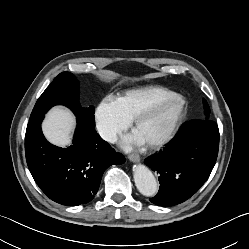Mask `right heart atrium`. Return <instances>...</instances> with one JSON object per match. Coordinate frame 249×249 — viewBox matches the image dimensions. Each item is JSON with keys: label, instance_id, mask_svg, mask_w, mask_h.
I'll use <instances>...</instances> for the list:
<instances>
[{"label": "right heart atrium", "instance_id": "d8ad5b80", "mask_svg": "<svg viewBox=\"0 0 249 249\" xmlns=\"http://www.w3.org/2000/svg\"><path fill=\"white\" fill-rule=\"evenodd\" d=\"M94 117L97 132L109 143H113L130 125V121L122 113L116 99L111 96L100 102Z\"/></svg>", "mask_w": 249, "mask_h": 249}]
</instances>
